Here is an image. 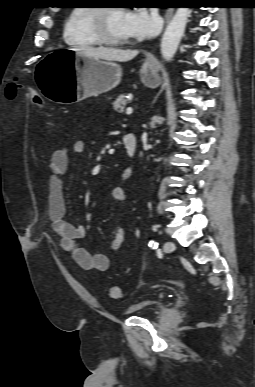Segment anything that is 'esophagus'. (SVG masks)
<instances>
[{
    "label": "esophagus",
    "instance_id": "obj_1",
    "mask_svg": "<svg viewBox=\"0 0 255 387\" xmlns=\"http://www.w3.org/2000/svg\"><path fill=\"white\" fill-rule=\"evenodd\" d=\"M173 15V9H168L165 14L166 23H168Z\"/></svg>",
    "mask_w": 255,
    "mask_h": 387
}]
</instances>
